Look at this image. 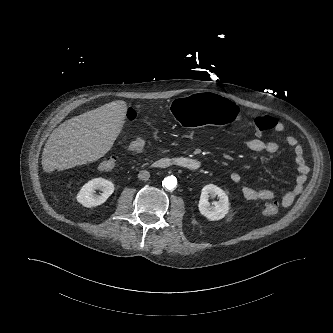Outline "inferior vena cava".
<instances>
[{"label": "inferior vena cava", "instance_id": "obj_1", "mask_svg": "<svg viewBox=\"0 0 333 333\" xmlns=\"http://www.w3.org/2000/svg\"><path fill=\"white\" fill-rule=\"evenodd\" d=\"M138 178L140 180H145L146 181L150 178V173L146 170H142V171L139 172Z\"/></svg>", "mask_w": 333, "mask_h": 333}]
</instances>
